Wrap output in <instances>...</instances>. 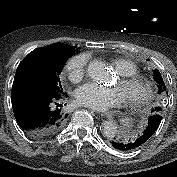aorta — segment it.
<instances>
[{"label": "aorta", "mask_w": 177, "mask_h": 177, "mask_svg": "<svg viewBox=\"0 0 177 177\" xmlns=\"http://www.w3.org/2000/svg\"><path fill=\"white\" fill-rule=\"evenodd\" d=\"M88 76L94 81L106 82L110 79V72L104 62L93 60L87 67ZM102 134L107 138H113L117 134V126L112 121L102 124Z\"/></svg>", "instance_id": "762f6f07"}]
</instances>
